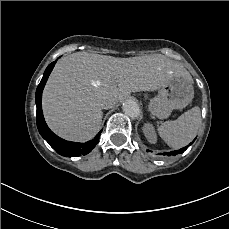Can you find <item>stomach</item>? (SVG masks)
<instances>
[{
    "mask_svg": "<svg viewBox=\"0 0 229 229\" xmlns=\"http://www.w3.org/2000/svg\"><path fill=\"white\" fill-rule=\"evenodd\" d=\"M193 85L184 77L166 82L157 96L149 100L148 112L158 119H167L174 109L187 106L193 98Z\"/></svg>",
    "mask_w": 229,
    "mask_h": 229,
    "instance_id": "0dacf381",
    "label": "stomach"
}]
</instances>
